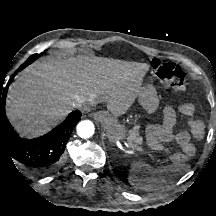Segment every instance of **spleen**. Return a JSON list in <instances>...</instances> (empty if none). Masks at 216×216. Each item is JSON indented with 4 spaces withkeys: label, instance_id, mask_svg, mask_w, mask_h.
Returning a JSON list of instances; mask_svg holds the SVG:
<instances>
[{
    "label": "spleen",
    "instance_id": "1",
    "mask_svg": "<svg viewBox=\"0 0 216 216\" xmlns=\"http://www.w3.org/2000/svg\"><path fill=\"white\" fill-rule=\"evenodd\" d=\"M155 175L156 171L148 164L142 161H133L130 164L128 181L133 186L140 187L144 190H150L156 184L162 182V180Z\"/></svg>",
    "mask_w": 216,
    "mask_h": 216
}]
</instances>
